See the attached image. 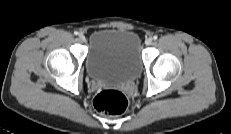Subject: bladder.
<instances>
[{
	"mask_svg": "<svg viewBox=\"0 0 231 134\" xmlns=\"http://www.w3.org/2000/svg\"><path fill=\"white\" fill-rule=\"evenodd\" d=\"M88 76L99 82L124 83L142 69L141 42L130 30L100 29L89 37L85 58Z\"/></svg>",
	"mask_w": 231,
	"mask_h": 134,
	"instance_id": "obj_1",
	"label": "bladder"
}]
</instances>
